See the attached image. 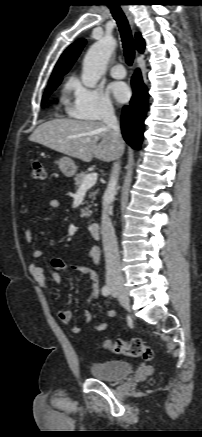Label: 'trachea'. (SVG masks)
Segmentation results:
<instances>
[{"mask_svg":"<svg viewBox=\"0 0 202 437\" xmlns=\"http://www.w3.org/2000/svg\"><path fill=\"white\" fill-rule=\"evenodd\" d=\"M109 8L120 31L125 61L129 66H131L135 57V49L128 20L118 5H109Z\"/></svg>","mask_w":202,"mask_h":437,"instance_id":"3493384b","label":"trachea"}]
</instances>
